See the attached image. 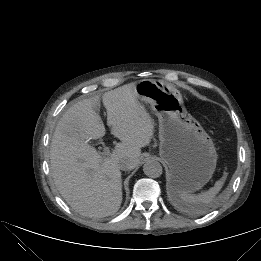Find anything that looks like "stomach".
I'll use <instances>...</instances> for the list:
<instances>
[{
  "mask_svg": "<svg viewBox=\"0 0 261 261\" xmlns=\"http://www.w3.org/2000/svg\"><path fill=\"white\" fill-rule=\"evenodd\" d=\"M135 92L158 117L159 155L169 168L172 194L201 189L216 168L212 139L184 108L181 94L172 85L146 79L136 83Z\"/></svg>",
  "mask_w": 261,
  "mask_h": 261,
  "instance_id": "stomach-1",
  "label": "stomach"
}]
</instances>
